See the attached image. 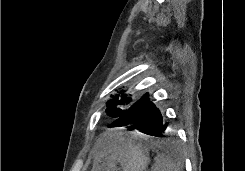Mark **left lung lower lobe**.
I'll use <instances>...</instances> for the list:
<instances>
[{
	"mask_svg": "<svg viewBox=\"0 0 245 171\" xmlns=\"http://www.w3.org/2000/svg\"><path fill=\"white\" fill-rule=\"evenodd\" d=\"M110 127H126L129 130H142L145 134L163 137L167 128L164 115L144 94L119 119L110 124Z\"/></svg>",
	"mask_w": 245,
	"mask_h": 171,
	"instance_id": "0a47b994",
	"label": "left lung lower lobe"
}]
</instances>
